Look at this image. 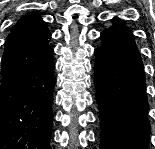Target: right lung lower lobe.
<instances>
[{"label": "right lung lower lobe", "mask_w": 155, "mask_h": 149, "mask_svg": "<svg viewBox=\"0 0 155 149\" xmlns=\"http://www.w3.org/2000/svg\"><path fill=\"white\" fill-rule=\"evenodd\" d=\"M54 63L0 76V149H50Z\"/></svg>", "instance_id": "obj_1"}]
</instances>
